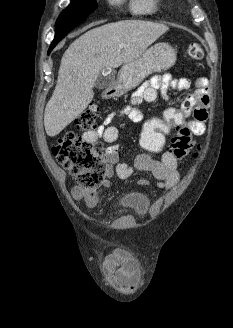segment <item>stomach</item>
I'll return each instance as SVG.
<instances>
[{
	"label": "stomach",
	"mask_w": 233,
	"mask_h": 328,
	"mask_svg": "<svg viewBox=\"0 0 233 328\" xmlns=\"http://www.w3.org/2000/svg\"><path fill=\"white\" fill-rule=\"evenodd\" d=\"M176 56V51L168 43L150 47L139 58L122 66L116 89L110 97L122 95L135 88L151 73L169 69L176 62Z\"/></svg>",
	"instance_id": "1"
}]
</instances>
